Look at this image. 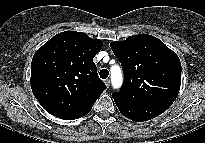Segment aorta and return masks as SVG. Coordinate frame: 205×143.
<instances>
[{
    "label": "aorta",
    "instance_id": "aorta-1",
    "mask_svg": "<svg viewBox=\"0 0 205 143\" xmlns=\"http://www.w3.org/2000/svg\"><path fill=\"white\" fill-rule=\"evenodd\" d=\"M110 70L112 86L114 89H119L123 83L121 68L118 65H113Z\"/></svg>",
    "mask_w": 205,
    "mask_h": 143
}]
</instances>
